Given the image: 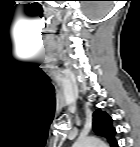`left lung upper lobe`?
Returning a JSON list of instances; mask_svg holds the SVG:
<instances>
[{
  "mask_svg": "<svg viewBox=\"0 0 140 147\" xmlns=\"http://www.w3.org/2000/svg\"><path fill=\"white\" fill-rule=\"evenodd\" d=\"M93 130L96 134L106 137L112 146L118 145L114 138L116 130L112 126V118L100 109L93 114Z\"/></svg>",
  "mask_w": 140,
  "mask_h": 147,
  "instance_id": "1",
  "label": "left lung upper lobe"
}]
</instances>
